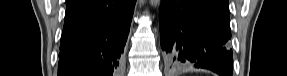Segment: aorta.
Instances as JSON below:
<instances>
[{
	"label": "aorta",
	"instance_id": "aorta-1",
	"mask_svg": "<svg viewBox=\"0 0 287 76\" xmlns=\"http://www.w3.org/2000/svg\"><path fill=\"white\" fill-rule=\"evenodd\" d=\"M150 2L154 7H158L160 5V0H151Z\"/></svg>",
	"mask_w": 287,
	"mask_h": 76
}]
</instances>
